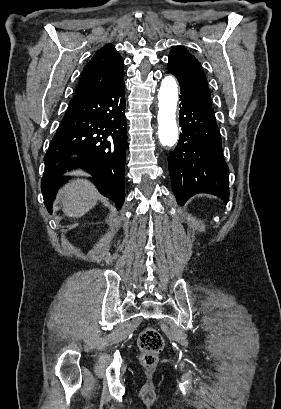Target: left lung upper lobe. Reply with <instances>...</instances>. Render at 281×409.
Instances as JSON below:
<instances>
[{"instance_id":"1","label":"left lung upper lobe","mask_w":281,"mask_h":409,"mask_svg":"<svg viewBox=\"0 0 281 409\" xmlns=\"http://www.w3.org/2000/svg\"><path fill=\"white\" fill-rule=\"evenodd\" d=\"M168 72L178 79L180 86L186 87L211 102L206 76L198 60L184 47H175L169 54Z\"/></svg>"}]
</instances>
